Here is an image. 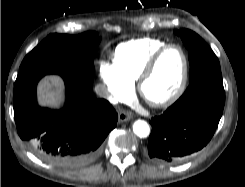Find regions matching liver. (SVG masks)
Instances as JSON below:
<instances>
[{"instance_id":"6515ba94","label":"liver","mask_w":245,"mask_h":187,"mask_svg":"<svg viewBox=\"0 0 245 187\" xmlns=\"http://www.w3.org/2000/svg\"><path fill=\"white\" fill-rule=\"evenodd\" d=\"M39 101L42 105L59 107L63 102V87L60 80L50 77L43 80L38 86Z\"/></svg>"}]
</instances>
